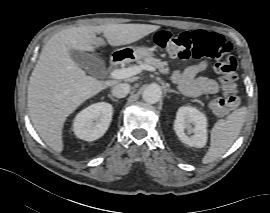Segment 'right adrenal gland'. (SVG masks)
<instances>
[{"mask_svg":"<svg viewBox=\"0 0 270 213\" xmlns=\"http://www.w3.org/2000/svg\"><path fill=\"white\" fill-rule=\"evenodd\" d=\"M108 97L112 100V101H114V102H118V100L117 99H115L112 95H108Z\"/></svg>","mask_w":270,"mask_h":213,"instance_id":"obj_1","label":"right adrenal gland"}]
</instances>
